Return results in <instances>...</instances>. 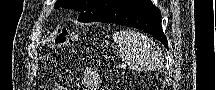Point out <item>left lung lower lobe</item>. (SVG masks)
Instances as JSON below:
<instances>
[{
  "label": "left lung lower lobe",
  "instance_id": "1",
  "mask_svg": "<svg viewBox=\"0 0 216 90\" xmlns=\"http://www.w3.org/2000/svg\"><path fill=\"white\" fill-rule=\"evenodd\" d=\"M94 21L141 29L168 48V41L161 26V12L150 0H128L121 7L108 11Z\"/></svg>",
  "mask_w": 216,
  "mask_h": 90
}]
</instances>
